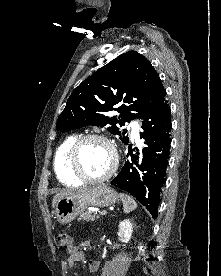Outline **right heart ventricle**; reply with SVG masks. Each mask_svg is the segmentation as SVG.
Here are the masks:
<instances>
[{
	"instance_id": "obj_1",
	"label": "right heart ventricle",
	"mask_w": 221,
	"mask_h": 276,
	"mask_svg": "<svg viewBox=\"0 0 221 276\" xmlns=\"http://www.w3.org/2000/svg\"><path fill=\"white\" fill-rule=\"evenodd\" d=\"M76 135L67 136L57 147L54 157V169L58 179L66 185H78L80 180L70 171L68 165V152Z\"/></svg>"
}]
</instances>
